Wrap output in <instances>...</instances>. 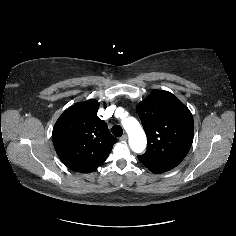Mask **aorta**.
<instances>
[{
    "mask_svg": "<svg viewBox=\"0 0 236 236\" xmlns=\"http://www.w3.org/2000/svg\"><path fill=\"white\" fill-rule=\"evenodd\" d=\"M122 125L128 134L130 148L136 153L143 152L147 138L139 122L134 117H126L122 120Z\"/></svg>",
    "mask_w": 236,
    "mask_h": 236,
    "instance_id": "762f6f07",
    "label": "aorta"
}]
</instances>
